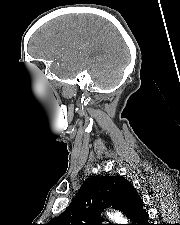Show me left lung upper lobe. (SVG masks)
Masks as SVG:
<instances>
[{"label": "left lung upper lobe", "instance_id": "left-lung-upper-lobe-1", "mask_svg": "<svg viewBox=\"0 0 180 225\" xmlns=\"http://www.w3.org/2000/svg\"><path fill=\"white\" fill-rule=\"evenodd\" d=\"M107 207L118 209L130 218L143 208V200L123 177L92 176L82 184L67 209L47 225H103L100 212Z\"/></svg>", "mask_w": 180, "mask_h": 225}]
</instances>
